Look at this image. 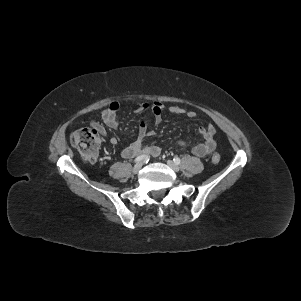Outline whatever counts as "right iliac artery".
<instances>
[{
  "instance_id": "right-iliac-artery-1",
  "label": "right iliac artery",
  "mask_w": 301,
  "mask_h": 301,
  "mask_svg": "<svg viewBox=\"0 0 301 301\" xmlns=\"http://www.w3.org/2000/svg\"><path fill=\"white\" fill-rule=\"evenodd\" d=\"M142 160H149V157H148V155H140V156H138L135 160H134V162H140V161H142Z\"/></svg>"
}]
</instances>
